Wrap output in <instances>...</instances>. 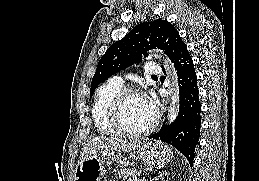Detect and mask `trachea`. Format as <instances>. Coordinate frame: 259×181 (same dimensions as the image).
I'll list each match as a JSON object with an SVG mask.
<instances>
[{"label": "trachea", "mask_w": 259, "mask_h": 181, "mask_svg": "<svg viewBox=\"0 0 259 181\" xmlns=\"http://www.w3.org/2000/svg\"><path fill=\"white\" fill-rule=\"evenodd\" d=\"M152 77H157L156 75H153Z\"/></svg>", "instance_id": "3493384b"}]
</instances>
